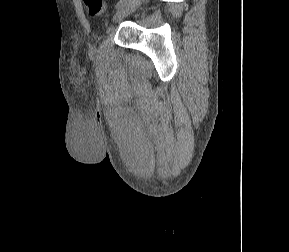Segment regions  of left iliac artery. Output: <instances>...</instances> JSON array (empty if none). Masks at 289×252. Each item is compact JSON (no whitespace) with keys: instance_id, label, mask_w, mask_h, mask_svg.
Returning <instances> with one entry per match:
<instances>
[{"instance_id":"obj_1","label":"left iliac artery","mask_w":289,"mask_h":252,"mask_svg":"<svg viewBox=\"0 0 289 252\" xmlns=\"http://www.w3.org/2000/svg\"><path fill=\"white\" fill-rule=\"evenodd\" d=\"M128 2V0H120L117 4H116V8H120L123 5H125Z\"/></svg>"}]
</instances>
